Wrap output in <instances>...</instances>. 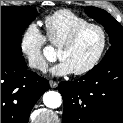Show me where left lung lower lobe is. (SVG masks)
<instances>
[{
    "label": "left lung lower lobe",
    "mask_w": 123,
    "mask_h": 123,
    "mask_svg": "<svg viewBox=\"0 0 123 123\" xmlns=\"http://www.w3.org/2000/svg\"><path fill=\"white\" fill-rule=\"evenodd\" d=\"M63 123H123V55L102 60L76 81L61 82Z\"/></svg>",
    "instance_id": "1"
}]
</instances>
